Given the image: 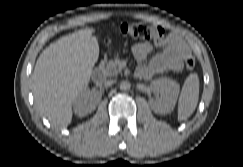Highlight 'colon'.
I'll return each instance as SVG.
<instances>
[{
	"mask_svg": "<svg viewBox=\"0 0 243 167\" xmlns=\"http://www.w3.org/2000/svg\"><path fill=\"white\" fill-rule=\"evenodd\" d=\"M120 32L122 35L133 38L149 41L156 36L162 34L164 29L161 26L150 27L143 23H130L123 24L120 27ZM195 68V59L188 55L185 59V69L188 72L193 71Z\"/></svg>",
	"mask_w": 243,
	"mask_h": 167,
	"instance_id": "1",
	"label": "colon"
}]
</instances>
